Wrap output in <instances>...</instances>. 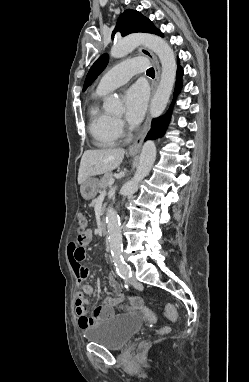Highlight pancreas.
Here are the masks:
<instances>
[{
	"label": "pancreas",
	"mask_w": 249,
	"mask_h": 382,
	"mask_svg": "<svg viewBox=\"0 0 249 382\" xmlns=\"http://www.w3.org/2000/svg\"><path fill=\"white\" fill-rule=\"evenodd\" d=\"M114 175L112 172H107L104 174V176L100 179L98 183L99 192L105 190L109 185V181L113 179Z\"/></svg>",
	"instance_id": "1"
}]
</instances>
